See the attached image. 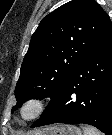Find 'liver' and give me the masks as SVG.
<instances>
[{
  "mask_svg": "<svg viewBox=\"0 0 112 135\" xmlns=\"http://www.w3.org/2000/svg\"><path fill=\"white\" fill-rule=\"evenodd\" d=\"M43 132H44V131L41 130V131H38V132H36V133H39V134L41 135V134H43Z\"/></svg>",
  "mask_w": 112,
  "mask_h": 135,
  "instance_id": "obj_1",
  "label": "liver"
}]
</instances>
